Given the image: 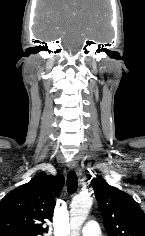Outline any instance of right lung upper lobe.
<instances>
[{
	"label": "right lung upper lobe",
	"mask_w": 145,
	"mask_h": 236,
	"mask_svg": "<svg viewBox=\"0 0 145 236\" xmlns=\"http://www.w3.org/2000/svg\"><path fill=\"white\" fill-rule=\"evenodd\" d=\"M64 177L39 174L30 182L10 191L0 202V236H40L48 232L55 197Z\"/></svg>",
	"instance_id": "cb5924a9"
}]
</instances>
